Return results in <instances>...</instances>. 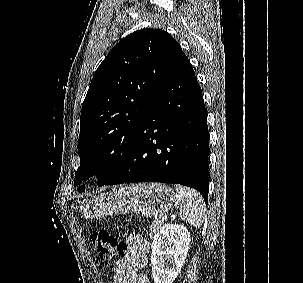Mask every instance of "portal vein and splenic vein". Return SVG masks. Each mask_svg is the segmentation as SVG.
Here are the masks:
<instances>
[{
    "instance_id": "portal-vein-and-splenic-vein-1",
    "label": "portal vein and splenic vein",
    "mask_w": 303,
    "mask_h": 283,
    "mask_svg": "<svg viewBox=\"0 0 303 283\" xmlns=\"http://www.w3.org/2000/svg\"><path fill=\"white\" fill-rule=\"evenodd\" d=\"M166 221V217L162 218L160 221L159 220H155V222L157 223H164Z\"/></svg>"
}]
</instances>
